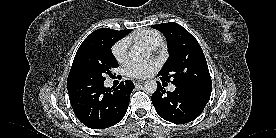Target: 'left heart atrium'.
<instances>
[{
    "label": "left heart atrium",
    "mask_w": 276,
    "mask_h": 138,
    "mask_svg": "<svg viewBox=\"0 0 276 138\" xmlns=\"http://www.w3.org/2000/svg\"><path fill=\"white\" fill-rule=\"evenodd\" d=\"M157 65L154 62L132 61L126 65L125 72L134 78H145L155 71Z\"/></svg>",
    "instance_id": "left-heart-atrium-1"
}]
</instances>
